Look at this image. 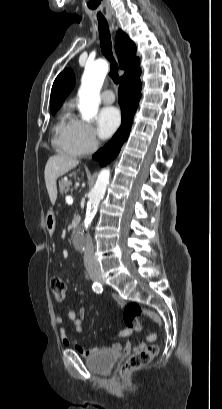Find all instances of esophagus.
<instances>
[{
	"mask_svg": "<svg viewBox=\"0 0 222 409\" xmlns=\"http://www.w3.org/2000/svg\"><path fill=\"white\" fill-rule=\"evenodd\" d=\"M114 55H115V57H116V59H117V56H116L115 52H114Z\"/></svg>",
	"mask_w": 222,
	"mask_h": 409,
	"instance_id": "1",
	"label": "esophagus"
}]
</instances>
